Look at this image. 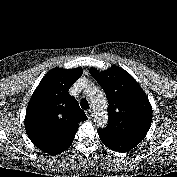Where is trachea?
<instances>
[{
  "instance_id": "1",
  "label": "trachea",
  "mask_w": 177,
  "mask_h": 177,
  "mask_svg": "<svg viewBox=\"0 0 177 177\" xmlns=\"http://www.w3.org/2000/svg\"><path fill=\"white\" fill-rule=\"evenodd\" d=\"M81 108L83 109H89V103L86 98H82L80 102Z\"/></svg>"
}]
</instances>
